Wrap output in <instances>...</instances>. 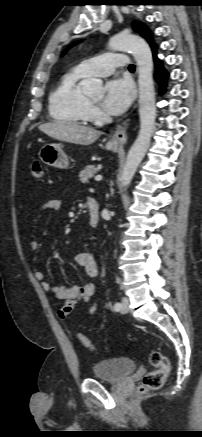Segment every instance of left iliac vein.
Segmentation results:
<instances>
[{
    "instance_id": "obj_1",
    "label": "left iliac vein",
    "mask_w": 202,
    "mask_h": 437,
    "mask_svg": "<svg viewBox=\"0 0 202 437\" xmlns=\"http://www.w3.org/2000/svg\"><path fill=\"white\" fill-rule=\"evenodd\" d=\"M129 310V300L127 297H123L122 301H121V309L120 312L121 313H127Z\"/></svg>"
}]
</instances>
